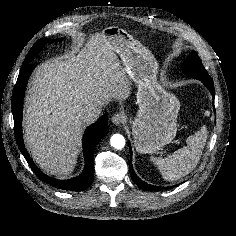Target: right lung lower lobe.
I'll use <instances>...</instances> for the list:
<instances>
[{
  "mask_svg": "<svg viewBox=\"0 0 236 236\" xmlns=\"http://www.w3.org/2000/svg\"><path fill=\"white\" fill-rule=\"evenodd\" d=\"M34 65L27 64L22 66L12 94V113L14 118V132L16 141L20 151L25 157L26 161L38 176V178L58 189L70 191H83L93 181L94 161L93 152L97 143L106 135L108 131L107 115H103L96 123L91 125L85 132L83 137V151L85 157L84 171L77 177L68 180H57L45 175L33 163L29 156L23 141L22 135V109L25 87L28 78L34 69Z\"/></svg>",
  "mask_w": 236,
  "mask_h": 236,
  "instance_id": "right-lung-lower-lobe-1",
  "label": "right lung lower lobe"
}]
</instances>
